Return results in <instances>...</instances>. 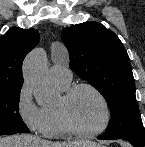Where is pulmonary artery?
<instances>
[{"label": "pulmonary artery", "mask_w": 145, "mask_h": 147, "mask_svg": "<svg viewBox=\"0 0 145 147\" xmlns=\"http://www.w3.org/2000/svg\"><path fill=\"white\" fill-rule=\"evenodd\" d=\"M50 76L54 81L69 82L72 80V72L66 64L55 63L50 68Z\"/></svg>", "instance_id": "e3ab8cb5"}]
</instances>
